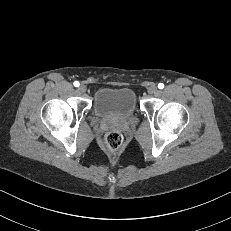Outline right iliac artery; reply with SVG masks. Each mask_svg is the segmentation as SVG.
<instances>
[{
    "label": "right iliac artery",
    "instance_id": "right-iliac-artery-1",
    "mask_svg": "<svg viewBox=\"0 0 231 231\" xmlns=\"http://www.w3.org/2000/svg\"><path fill=\"white\" fill-rule=\"evenodd\" d=\"M74 86H75V87H78V86H79V82H78V81H75V82H74Z\"/></svg>",
    "mask_w": 231,
    "mask_h": 231
}]
</instances>
